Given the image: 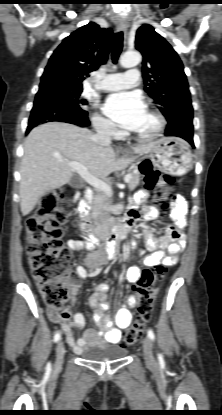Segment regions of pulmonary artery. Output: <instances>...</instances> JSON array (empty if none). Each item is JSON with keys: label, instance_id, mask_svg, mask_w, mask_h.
<instances>
[{"label": "pulmonary artery", "instance_id": "e3ab8cb5", "mask_svg": "<svg viewBox=\"0 0 222 415\" xmlns=\"http://www.w3.org/2000/svg\"><path fill=\"white\" fill-rule=\"evenodd\" d=\"M139 82V72L137 69H131L125 73L108 74L103 81L97 85L102 91H116L134 87Z\"/></svg>", "mask_w": 222, "mask_h": 415}]
</instances>
